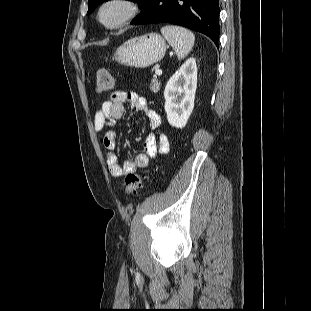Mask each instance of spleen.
Wrapping results in <instances>:
<instances>
[{"label":"spleen","instance_id":"1","mask_svg":"<svg viewBox=\"0 0 311 311\" xmlns=\"http://www.w3.org/2000/svg\"><path fill=\"white\" fill-rule=\"evenodd\" d=\"M161 33L173 47L179 60L185 58L194 45V34L183 27L165 26L161 28Z\"/></svg>","mask_w":311,"mask_h":311}]
</instances>
